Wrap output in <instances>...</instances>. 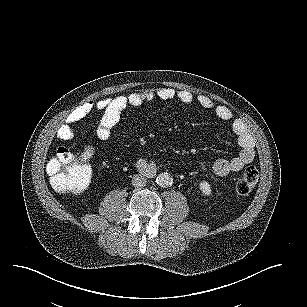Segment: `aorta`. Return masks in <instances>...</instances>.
I'll list each match as a JSON object with an SVG mask.
<instances>
[{"mask_svg":"<svg viewBox=\"0 0 307 307\" xmlns=\"http://www.w3.org/2000/svg\"><path fill=\"white\" fill-rule=\"evenodd\" d=\"M155 182L157 183L158 186L166 188L172 185L173 179L169 173L163 172L157 176Z\"/></svg>","mask_w":307,"mask_h":307,"instance_id":"obj_1","label":"aorta"}]
</instances>
